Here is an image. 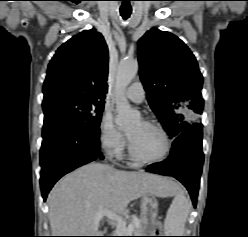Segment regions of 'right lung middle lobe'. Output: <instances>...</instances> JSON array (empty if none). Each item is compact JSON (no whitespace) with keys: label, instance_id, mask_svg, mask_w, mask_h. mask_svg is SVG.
<instances>
[{"label":"right lung middle lobe","instance_id":"dd1d6c3e","mask_svg":"<svg viewBox=\"0 0 248 237\" xmlns=\"http://www.w3.org/2000/svg\"><path fill=\"white\" fill-rule=\"evenodd\" d=\"M44 124L57 123L80 128H99L104 101L58 97L43 102Z\"/></svg>","mask_w":248,"mask_h":237}]
</instances>
